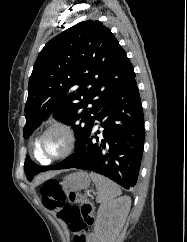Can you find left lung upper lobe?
Instances as JSON below:
<instances>
[{"mask_svg":"<svg viewBox=\"0 0 187 242\" xmlns=\"http://www.w3.org/2000/svg\"><path fill=\"white\" fill-rule=\"evenodd\" d=\"M135 77L134 68L109 28L80 22L50 40L29 78L24 138L51 114L84 140L103 106ZM92 105V107H89ZM55 166V165H54ZM26 157V176L47 171Z\"/></svg>","mask_w":187,"mask_h":242,"instance_id":"1","label":"left lung upper lobe"}]
</instances>
